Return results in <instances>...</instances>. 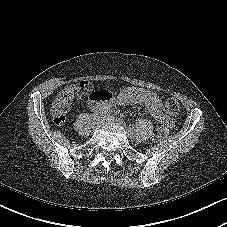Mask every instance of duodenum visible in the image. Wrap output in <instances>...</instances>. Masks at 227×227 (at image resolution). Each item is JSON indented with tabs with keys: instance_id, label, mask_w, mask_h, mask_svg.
Segmentation results:
<instances>
[{
	"instance_id": "duodenum-1",
	"label": "duodenum",
	"mask_w": 227,
	"mask_h": 227,
	"mask_svg": "<svg viewBox=\"0 0 227 227\" xmlns=\"http://www.w3.org/2000/svg\"><path fill=\"white\" fill-rule=\"evenodd\" d=\"M109 105V97L108 95L103 91L96 92L92 100L90 101V106L95 111H102L106 109Z\"/></svg>"
}]
</instances>
